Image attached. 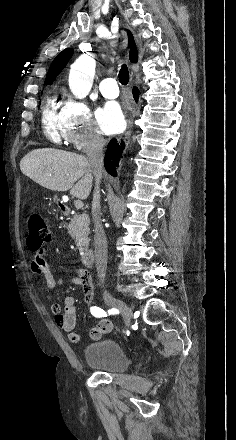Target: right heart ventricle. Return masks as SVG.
<instances>
[{
    "label": "right heart ventricle",
    "mask_w": 236,
    "mask_h": 440,
    "mask_svg": "<svg viewBox=\"0 0 236 440\" xmlns=\"http://www.w3.org/2000/svg\"><path fill=\"white\" fill-rule=\"evenodd\" d=\"M42 126L45 136L50 141L60 143L64 138L62 114L53 96L47 99L43 107Z\"/></svg>",
    "instance_id": "1"
}]
</instances>
